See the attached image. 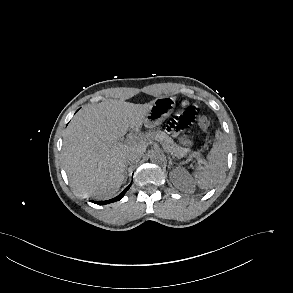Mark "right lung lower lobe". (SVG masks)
<instances>
[{
    "label": "right lung lower lobe",
    "instance_id": "1",
    "mask_svg": "<svg viewBox=\"0 0 293 293\" xmlns=\"http://www.w3.org/2000/svg\"><path fill=\"white\" fill-rule=\"evenodd\" d=\"M130 186H131V184L121 194H119L117 197H115L113 199H110V200H107V201L95 202V203L104 205V204L116 202V201L120 200L124 196V194L130 188Z\"/></svg>",
    "mask_w": 293,
    "mask_h": 293
}]
</instances>
